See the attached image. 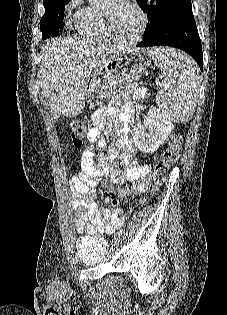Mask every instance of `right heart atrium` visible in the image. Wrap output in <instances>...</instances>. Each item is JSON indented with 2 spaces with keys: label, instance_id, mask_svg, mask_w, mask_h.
Wrapping results in <instances>:
<instances>
[{
  "label": "right heart atrium",
  "instance_id": "right-heart-atrium-1",
  "mask_svg": "<svg viewBox=\"0 0 227 315\" xmlns=\"http://www.w3.org/2000/svg\"><path fill=\"white\" fill-rule=\"evenodd\" d=\"M82 0H70L66 6L67 12H71L72 10L79 9Z\"/></svg>",
  "mask_w": 227,
  "mask_h": 315
}]
</instances>
